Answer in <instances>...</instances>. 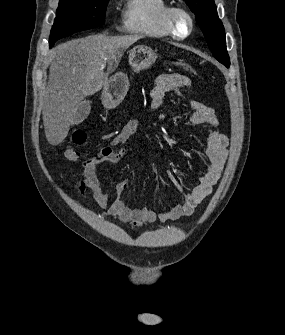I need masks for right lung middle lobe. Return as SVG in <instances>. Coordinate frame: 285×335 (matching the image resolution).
I'll use <instances>...</instances> for the list:
<instances>
[{"label":"right lung middle lobe","mask_w":285,"mask_h":335,"mask_svg":"<svg viewBox=\"0 0 285 335\" xmlns=\"http://www.w3.org/2000/svg\"><path fill=\"white\" fill-rule=\"evenodd\" d=\"M108 1L60 0L50 34V47L60 38L103 25Z\"/></svg>","instance_id":"right-lung-middle-lobe-1"}]
</instances>
